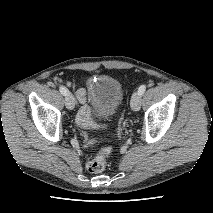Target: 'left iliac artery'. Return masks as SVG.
<instances>
[{
	"mask_svg": "<svg viewBox=\"0 0 213 213\" xmlns=\"http://www.w3.org/2000/svg\"><path fill=\"white\" fill-rule=\"evenodd\" d=\"M145 90H146V85H141L138 89V92L140 95H142L144 94Z\"/></svg>",
	"mask_w": 213,
	"mask_h": 213,
	"instance_id": "1",
	"label": "left iliac artery"
}]
</instances>
